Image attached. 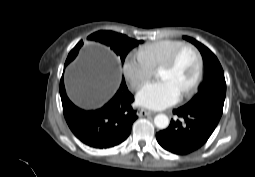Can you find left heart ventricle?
I'll use <instances>...</instances> for the list:
<instances>
[{
    "mask_svg": "<svg viewBox=\"0 0 255 177\" xmlns=\"http://www.w3.org/2000/svg\"><path fill=\"white\" fill-rule=\"evenodd\" d=\"M198 67L196 54L186 49L180 56L177 64L171 69H159L161 79L171 81L180 93L186 90L195 79Z\"/></svg>",
    "mask_w": 255,
    "mask_h": 177,
    "instance_id": "b2bd125f",
    "label": "left heart ventricle"
}]
</instances>
